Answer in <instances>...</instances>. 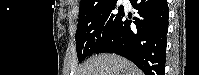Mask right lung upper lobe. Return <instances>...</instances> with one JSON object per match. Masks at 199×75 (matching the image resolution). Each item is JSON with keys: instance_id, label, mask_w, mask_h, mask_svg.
I'll return each instance as SVG.
<instances>
[{"instance_id": "right-lung-upper-lobe-1", "label": "right lung upper lobe", "mask_w": 199, "mask_h": 75, "mask_svg": "<svg viewBox=\"0 0 199 75\" xmlns=\"http://www.w3.org/2000/svg\"><path fill=\"white\" fill-rule=\"evenodd\" d=\"M110 0H81L80 1V11L79 13L86 12L98 5H101Z\"/></svg>"}]
</instances>
